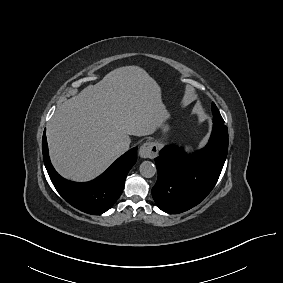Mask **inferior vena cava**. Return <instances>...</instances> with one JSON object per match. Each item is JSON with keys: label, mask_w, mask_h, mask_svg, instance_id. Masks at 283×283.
Returning <instances> with one entry per match:
<instances>
[{"label": "inferior vena cava", "mask_w": 283, "mask_h": 283, "mask_svg": "<svg viewBox=\"0 0 283 283\" xmlns=\"http://www.w3.org/2000/svg\"><path fill=\"white\" fill-rule=\"evenodd\" d=\"M131 143V139L129 136H124L120 141V146L124 149H127Z\"/></svg>", "instance_id": "602c4592"}]
</instances>
